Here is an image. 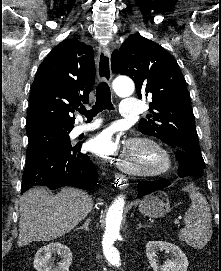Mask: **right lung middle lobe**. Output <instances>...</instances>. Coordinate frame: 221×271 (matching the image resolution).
<instances>
[{
  "mask_svg": "<svg viewBox=\"0 0 221 271\" xmlns=\"http://www.w3.org/2000/svg\"><path fill=\"white\" fill-rule=\"evenodd\" d=\"M73 126H43L28 130V148L26 157L49 149L71 148L69 132Z\"/></svg>",
  "mask_w": 221,
  "mask_h": 271,
  "instance_id": "obj_1",
  "label": "right lung middle lobe"
}]
</instances>
